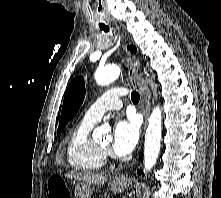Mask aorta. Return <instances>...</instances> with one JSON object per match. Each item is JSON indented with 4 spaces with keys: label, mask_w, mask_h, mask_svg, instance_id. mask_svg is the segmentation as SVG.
Here are the masks:
<instances>
[{
    "label": "aorta",
    "mask_w": 221,
    "mask_h": 198,
    "mask_svg": "<svg viewBox=\"0 0 221 198\" xmlns=\"http://www.w3.org/2000/svg\"><path fill=\"white\" fill-rule=\"evenodd\" d=\"M121 69L117 65L107 66L98 69L95 72V80L99 85H108L115 81L120 75ZM162 133V112L159 107L153 109L149 120L148 127L145 134L144 143V171L149 172L155 165L161 146ZM106 134L102 127L94 130L93 136L99 137Z\"/></svg>",
    "instance_id": "obj_1"
}]
</instances>
